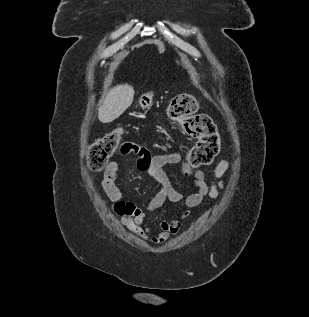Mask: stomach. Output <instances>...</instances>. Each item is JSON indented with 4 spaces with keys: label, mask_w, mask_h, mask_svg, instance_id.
Masks as SVG:
<instances>
[{
    "label": "stomach",
    "mask_w": 309,
    "mask_h": 317,
    "mask_svg": "<svg viewBox=\"0 0 309 317\" xmlns=\"http://www.w3.org/2000/svg\"><path fill=\"white\" fill-rule=\"evenodd\" d=\"M152 102H153L152 93L142 94L139 98V105L142 109L150 108L152 106Z\"/></svg>",
    "instance_id": "obj_1"
}]
</instances>
